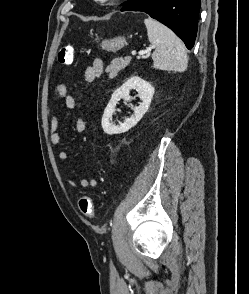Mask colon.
<instances>
[{
  "label": "colon",
  "mask_w": 249,
  "mask_h": 294,
  "mask_svg": "<svg viewBox=\"0 0 249 294\" xmlns=\"http://www.w3.org/2000/svg\"><path fill=\"white\" fill-rule=\"evenodd\" d=\"M75 49L71 45L61 47L58 53V61L63 65H70L74 61ZM80 212L87 218L94 216V205L89 196L83 195L78 200Z\"/></svg>",
  "instance_id": "colon-1"
}]
</instances>
